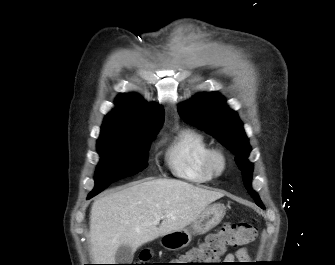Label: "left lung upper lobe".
Listing matches in <instances>:
<instances>
[{
	"mask_svg": "<svg viewBox=\"0 0 335 265\" xmlns=\"http://www.w3.org/2000/svg\"><path fill=\"white\" fill-rule=\"evenodd\" d=\"M180 116L217 138L236 155L235 161L242 171L243 182L255 203L265 208L258 194L251 188L253 164L248 161L251 147L243 124L236 112L225 106L224 98L218 93L199 94L178 107Z\"/></svg>",
	"mask_w": 335,
	"mask_h": 265,
	"instance_id": "obj_1",
	"label": "left lung upper lobe"
}]
</instances>
